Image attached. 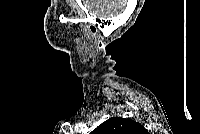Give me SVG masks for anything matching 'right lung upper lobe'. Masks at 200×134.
Listing matches in <instances>:
<instances>
[{
	"instance_id": "cb5924a9",
	"label": "right lung upper lobe",
	"mask_w": 200,
	"mask_h": 134,
	"mask_svg": "<svg viewBox=\"0 0 200 134\" xmlns=\"http://www.w3.org/2000/svg\"><path fill=\"white\" fill-rule=\"evenodd\" d=\"M93 134H146V129L139 123L131 119H125L120 117L111 118L95 130Z\"/></svg>"
}]
</instances>
